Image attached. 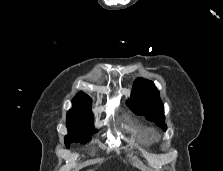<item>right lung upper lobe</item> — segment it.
<instances>
[{"label":"right lung upper lobe","instance_id":"cb5924a9","mask_svg":"<svg viewBox=\"0 0 223 171\" xmlns=\"http://www.w3.org/2000/svg\"><path fill=\"white\" fill-rule=\"evenodd\" d=\"M91 101V98L85 93H78L72 101L73 109H90Z\"/></svg>","mask_w":223,"mask_h":171}]
</instances>
